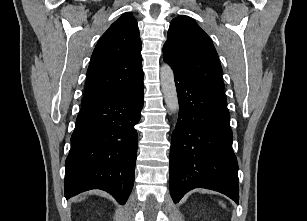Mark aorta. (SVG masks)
<instances>
[{
  "instance_id": "1",
  "label": "aorta",
  "mask_w": 307,
  "mask_h": 221,
  "mask_svg": "<svg viewBox=\"0 0 307 221\" xmlns=\"http://www.w3.org/2000/svg\"><path fill=\"white\" fill-rule=\"evenodd\" d=\"M161 88L167 108L171 113L179 111V100L172 68L164 64L160 69Z\"/></svg>"
}]
</instances>
